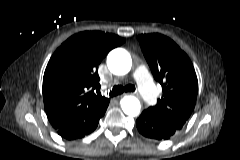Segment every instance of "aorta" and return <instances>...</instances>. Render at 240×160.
Listing matches in <instances>:
<instances>
[{
    "mask_svg": "<svg viewBox=\"0 0 240 160\" xmlns=\"http://www.w3.org/2000/svg\"><path fill=\"white\" fill-rule=\"evenodd\" d=\"M107 66L115 75H126L132 67L130 54L122 48L112 50L107 56ZM121 108L128 116H138L141 111L140 101L134 96H124L121 101Z\"/></svg>",
    "mask_w": 240,
    "mask_h": 160,
    "instance_id": "obj_1",
    "label": "aorta"
}]
</instances>
